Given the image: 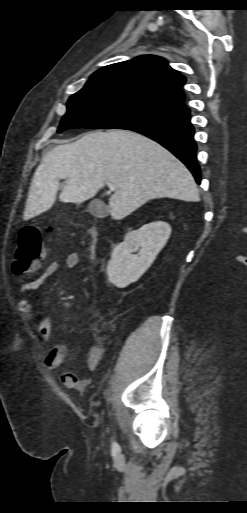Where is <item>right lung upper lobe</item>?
I'll list each match as a JSON object with an SVG mask.
<instances>
[{
	"label": "right lung upper lobe",
	"mask_w": 247,
	"mask_h": 513,
	"mask_svg": "<svg viewBox=\"0 0 247 513\" xmlns=\"http://www.w3.org/2000/svg\"><path fill=\"white\" fill-rule=\"evenodd\" d=\"M186 78L157 56H140L94 72L80 90L117 88L135 92L169 110L185 107L182 86Z\"/></svg>",
	"instance_id": "right-lung-upper-lobe-1"
}]
</instances>
